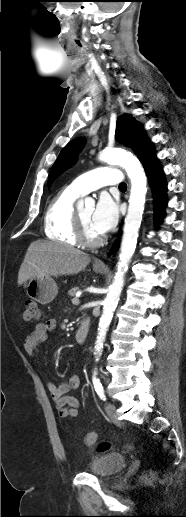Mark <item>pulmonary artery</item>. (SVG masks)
I'll return each mask as SVG.
<instances>
[{"instance_id":"obj_1","label":"pulmonary artery","mask_w":186,"mask_h":517,"mask_svg":"<svg viewBox=\"0 0 186 517\" xmlns=\"http://www.w3.org/2000/svg\"><path fill=\"white\" fill-rule=\"evenodd\" d=\"M121 183L122 174L119 169L101 167L78 176L71 182L70 187L75 192L84 195L103 186L120 185Z\"/></svg>"}]
</instances>
